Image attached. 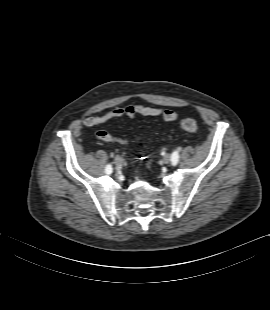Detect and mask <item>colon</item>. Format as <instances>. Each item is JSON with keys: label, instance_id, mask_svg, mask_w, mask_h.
Instances as JSON below:
<instances>
[{"label": "colon", "instance_id": "1", "mask_svg": "<svg viewBox=\"0 0 270 310\" xmlns=\"http://www.w3.org/2000/svg\"><path fill=\"white\" fill-rule=\"evenodd\" d=\"M181 129L188 134H195L198 131V124L192 118H184L180 121Z\"/></svg>", "mask_w": 270, "mask_h": 310}]
</instances>
